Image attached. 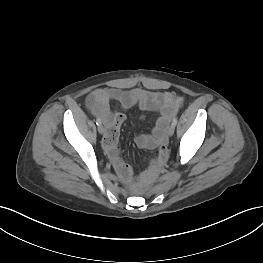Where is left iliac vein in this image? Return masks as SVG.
Masks as SVG:
<instances>
[{"label": "left iliac vein", "mask_w": 263, "mask_h": 263, "mask_svg": "<svg viewBox=\"0 0 263 263\" xmlns=\"http://www.w3.org/2000/svg\"><path fill=\"white\" fill-rule=\"evenodd\" d=\"M174 130H175V126L174 125H170L169 128H168V131H167V134L169 136H172L174 134Z\"/></svg>", "instance_id": "obj_1"}]
</instances>
